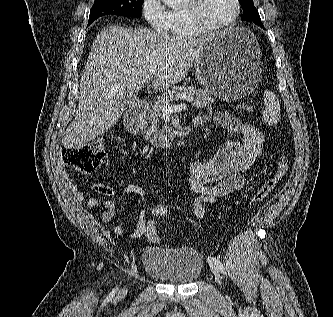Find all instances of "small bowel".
Wrapping results in <instances>:
<instances>
[{"label":"small bowel","instance_id":"small-bowel-1","mask_svg":"<svg viewBox=\"0 0 333 317\" xmlns=\"http://www.w3.org/2000/svg\"><path fill=\"white\" fill-rule=\"evenodd\" d=\"M210 120L225 129L229 137L213 157L195 161L190 166L189 186L190 191L196 195L192 207L197 219L204 218L206 204H216L221 198L244 189L245 172L261 157L265 142V135L261 130L230 113L198 115L194 122L200 126ZM64 183L75 203L86 200V195L70 178L65 177ZM93 188L104 196H112L115 193L112 186L101 182H94ZM123 195H135L140 200L136 228L129 234L130 238H138L146 233L145 221L150 199L146 191L137 184L126 186ZM89 203L91 206H102L101 218L104 222L110 221L116 214V207L112 201L89 199ZM122 233L123 226L117 223L113 227V234Z\"/></svg>","mask_w":333,"mask_h":317}]
</instances>
